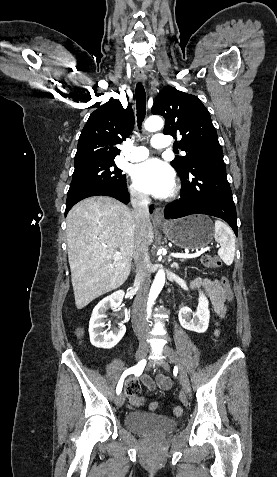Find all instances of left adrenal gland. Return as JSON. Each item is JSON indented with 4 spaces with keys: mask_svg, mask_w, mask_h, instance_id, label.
I'll return each mask as SVG.
<instances>
[{
    "mask_svg": "<svg viewBox=\"0 0 277 477\" xmlns=\"http://www.w3.org/2000/svg\"><path fill=\"white\" fill-rule=\"evenodd\" d=\"M170 261H171V258H169V262H170ZM171 268L179 269L178 263L173 262V263L171 264Z\"/></svg>",
    "mask_w": 277,
    "mask_h": 477,
    "instance_id": "1",
    "label": "left adrenal gland"
}]
</instances>
